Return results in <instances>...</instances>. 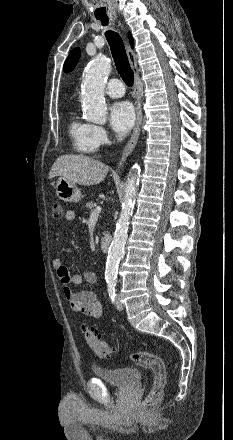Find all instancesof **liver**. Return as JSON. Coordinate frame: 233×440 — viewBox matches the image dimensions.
<instances>
[{
  "label": "liver",
  "instance_id": "liver-1",
  "mask_svg": "<svg viewBox=\"0 0 233 440\" xmlns=\"http://www.w3.org/2000/svg\"><path fill=\"white\" fill-rule=\"evenodd\" d=\"M108 170L104 163L84 155H62L54 162L49 179L61 176L75 184L91 186L99 184Z\"/></svg>",
  "mask_w": 233,
  "mask_h": 440
}]
</instances>
